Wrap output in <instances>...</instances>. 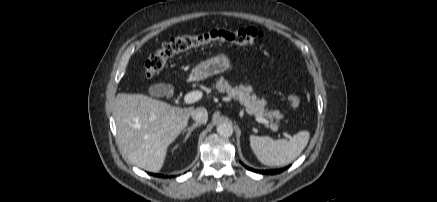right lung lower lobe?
Returning a JSON list of instances; mask_svg holds the SVG:
<instances>
[{"label": "right lung lower lobe", "mask_w": 437, "mask_h": 202, "mask_svg": "<svg viewBox=\"0 0 437 202\" xmlns=\"http://www.w3.org/2000/svg\"><path fill=\"white\" fill-rule=\"evenodd\" d=\"M153 176H156V177H163V175H159V174H153Z\"/></svg>", "instance_id": "right-lung-lower-lobe-1"}]
</instances>
